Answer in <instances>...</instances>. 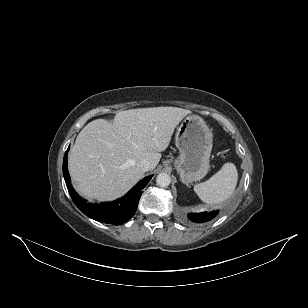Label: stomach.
I'll return each instance as SVG.
<instances>
[{
    "instance_id": "0dacf381",
    "label": "stomach",
    "mask_w": 308,
    "mask_h": 308,
    "mask_svg": "<svg viewBox=\"0 0 308 308\" xmlns=\"http://www.w3.org/2000/svg\"><path fill=\"white\" fill-rule=\"evenodd\" d=\"M213 136L198 115L186 117L177 128L175 144L180 154L174 166L184 184L202 179L209 170Z\"/></svg>"
}]
</instances>
